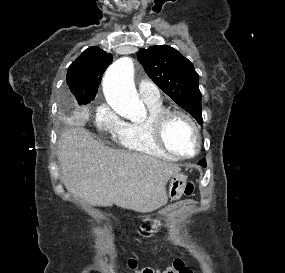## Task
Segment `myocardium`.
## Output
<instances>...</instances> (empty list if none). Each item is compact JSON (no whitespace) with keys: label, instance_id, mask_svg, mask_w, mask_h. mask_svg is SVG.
Returning a JSON list of instances; mask_svg holds the SVG:
<instances>
[{"label":"myocardium","instance_id":"f54148a6","mask_svg":"<svg viewBox=\"0 0 285 273\" xmlns=\"http://www.w3.org/2000/svg\"><path fill=\"white\" fill-rule=\"evenodd\" d=\"M173 116H181L185 118L192 126L195 136H196V148L192 154L185 155L180 154L172 150L168 144L166 143L164 137V130L166 127L167 122ZM151 130L153 137L157 144L167 153L171 154L172 156L180 159H190L197 156L201 150L202 140H201V131L200 126L197 121L186 111L181 109H165L156 115H154L151 119Z\"/></svg>","mask_w":285,"mask_h":273}]
</instances>
